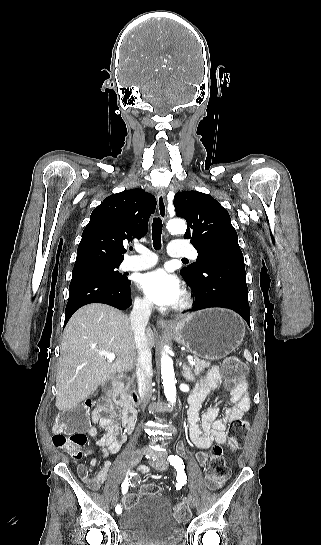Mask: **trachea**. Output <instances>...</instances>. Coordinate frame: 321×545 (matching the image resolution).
<instances>
[{"label": "trachea", "instance_id": "1", "mask_svg": "<svg viewBox=\"0 0 321 545\" xmlns=\"http://www.w3.org/2000/svg\"><path fill=\"white\" fill-rule=\"evenodd\" d=\"M161 234H162L161 218L154 217L153 223H152V241H153V247L155 248V250H159L161 248ZM182 261L188 262V259L182 258Z\"/></svg>", "mask_w": 321, "mask_h": 545}]
</instances>
